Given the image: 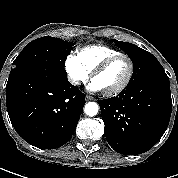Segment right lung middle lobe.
I'll list each match as a JSON object with an SVG mask.
<instances>
[{
    "label": "right lung middle lobe",
    "instance_id": "obj_1",
    "mask_svg": "<svg viewBox=\"0 0 178 178\" xmlns=\"http://www.w3.org/2000/svg\"><path fill=\"white\" fill-rule=\"evenodd\" d=\"M74 45L75 43L50 36L35 39L14 60L11 72L55 68L66 75L65 60Z\"/></svg>",
    "mask_w": 178,
    "mask_h": 178
}]
</instances>
